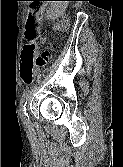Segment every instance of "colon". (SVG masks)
<instances>
[{
    "instance_id": "obj_1",
    "label": "colon",
    "mask_w": 123,
    "mask_h": 167,
    "mask_svg": "<svg viewBox=\"0 0 123 167\" xmlns=\"http://www.w3.org/2000/svg\"><path fill=\"white\" fill-rule=\"evenodd\" d=\"M40 6H43V4L33 7L32 12L29 13L26 20V44L22 50L20 65V75L22 80L26 83H30L32 81L34 68L36 66L43 65L49 57V53L47 51L38 53L35 43L43 13V7ZM66 25L67 21L64 18L57 25L56 29L58 31H63L66 28Z\"/></svg>"
}]
</instances>
